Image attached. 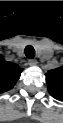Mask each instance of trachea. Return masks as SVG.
I'll return each instance as SVG.
<instances>
[{"label":"trachea","instance_id":"obj_1","mask_svg":"<svg viewBox=\"0 0 63 123\" xmlns=\"http://www.w3.org/2000/svg\"><path fill=\"white\" fill-rule=\"evenodd\" d=\"M24 52L26 57L29 59H33L35 57V49L31 45L26 46Z\"/></svg>","mask_w":63,"mask_h":123}]
</instances>
